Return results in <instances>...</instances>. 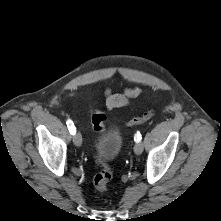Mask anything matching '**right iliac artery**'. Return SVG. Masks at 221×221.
<instances>
[{
    "label": "right iliac artery",
    "mask_w": 221,
    "mask_h": 221,
    "mask_svg": "<svg viewBox=\"0 0 221 221\" xmlns=\"http://www.w3.org/2000/svg\"><path fill=\"white\" fill-rule=\"evenodd\" d=\"M66 124H67V126H68V129H69L70 133H71L72 135H74L75 132H76V128H75L73 122H72L71 120H67Z\"/></svg>",
    "instance_id": "82829eb1"
}]
</instances>
